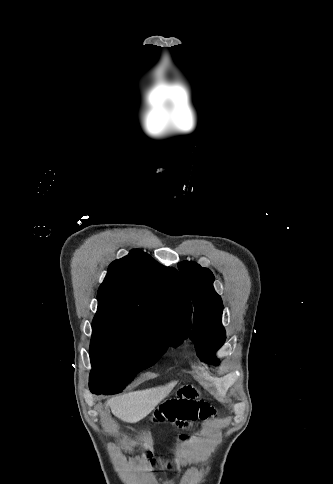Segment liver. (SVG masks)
<instances>
[{"instance_id": "6515ba94", "label": "liver", "mask_w": 333, "mask_h": 484, "mask_svg": "<svg viewBox=\"0 0 333 484\" xmlns=\"http://www.w3.org/2000/svg\"><path fill=\"white\" fill-rule=\"evenodd\" d=\"M175 384L176 381H173L163 386L112 397L106 406H110L116 417L134 423L153 411L169 395Z\"/></svg>"}]
</instances>
